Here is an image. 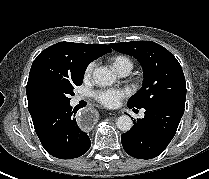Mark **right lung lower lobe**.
Instances as JSON below:
<instances>
[{
  "mask_svg": "<svg viewBox=\"0 0 209 179\" xmlns=\"http://www.w3.org/2000/svg\"><path fill=\"white\" fill-rule=\"evenodd\" d=\"M75 114L76 110L68 103L33 122L44 149L50 155L59 159H72L83 155L90 148L91 141L78 126Z\"/></svg>",
  "mask_w": 209,
  "mask_h": 179,
  "instance_id": "98d812e1",
  "label": "right lung lower lobe"
}]
</instances>
